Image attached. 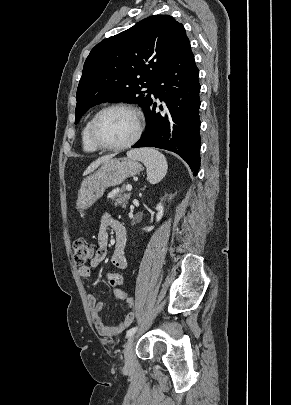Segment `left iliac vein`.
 <instances>
[{
	"instance_id": "left-iliac-vein-1",
	"label": "left iliac vein",
	"mask_w": 291,
	"mask_h": 405,
	"mask_svg": "<svg viewBox=\"0 0 291 405\" xmlns=\"http://www.w3.org/2000/svg\"><path fill=\"white\" fill-rule=\"evenodd\" d=\"M134 341H135V336L132 335L128 338L127 342L125 343L123 353H124V362H125L126 369H130L132 367Z\"/></svg>"
}]
</instances>
